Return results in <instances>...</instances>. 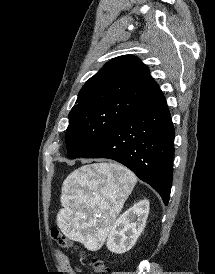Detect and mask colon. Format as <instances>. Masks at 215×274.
Here are the masks:
<instances>
[{
  "label": "colon",
  "instance_id": "obj_1",
  "mask_svg": "<svg viewBox=\"0 0 215 274\" xmlns=\"http://www.w3.org/2000/svg\"><path fill=\"white\" fill-rule=\"evenodd\" d=\"M52 236L59 246L64 248L71 247V241L57 227L52 228ZM91 264L97 274H111V270L106 266L103 260L94 257Z\"/></svg>",
  "mask_w": 215,
  "mask_h": 274
}]
</instances>
